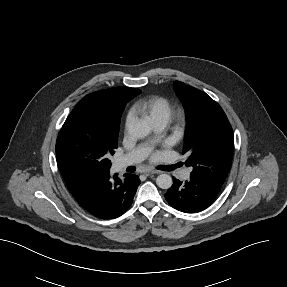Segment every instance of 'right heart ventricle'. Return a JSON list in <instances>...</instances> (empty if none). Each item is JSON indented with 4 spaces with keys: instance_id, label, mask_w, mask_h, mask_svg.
<instances>
[{
    "instance_id": "right-heart-ventricle-1",
    "label": "right heart ventricle",
    "mask_w": 287,
    "mask_h": 287,
    "mask_svg": "<svg viewBox=\"0 0 287 287\" xmlns=\"http://www.w3.org/2000/svg\"><path fill=\"white\" fill-rule=\"evenodd\" d=\"M133 112L143 116L153 125L161 123L166 126L172 118L173 108L167 98L150 96L137 101L133 106Z\"/></svg>"
}]
</instances>
